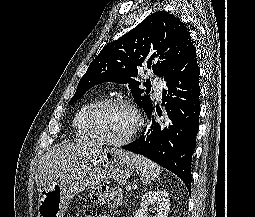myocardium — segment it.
Listing matches in <instances>:
<instances>
[{
    "label": "myocardium",
    "mask_w": 255,
    "mask_h": 217,
    "mask_svg": "<svg viewBox=\"0 0 255 217\" xmlns=\"http://www.w3.org/2000/svg\"><path fill=\"white\" fill-rule=\"evenodd\" d=\"M116 105L125 106L129 108L130 110H132L136 119L135 125L133 129L131 130V132L126 137L119 140H113V139L107 138L101 132L97 123L98 115L100 114L102 110H104L107 107L116 106ZM87 122L91 132L95 135V137L101 142L110 146H123L132 142L143 126V118L138 108L131 101L124 98H106L99 101L90 109L87 115Z\"/></svg>",
    "instance_id": "f54148a6"
}]
</instances>
